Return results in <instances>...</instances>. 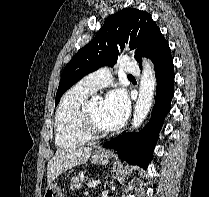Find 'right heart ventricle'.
I'll return each mask as SVG.
<instances>
[{
	"label": "right heart ventricle",
	"mask_w": 209,
	"mask_h": 197,
	"mask_svg": "<svg viewBox=\"0 0 209 197\" xmlns=\"http://www.w3.org/2000/svg\"><path fill=\"white\" fill-rule=\"evenodd\" d=\"M91 91L75 85L62 97L55 114V142L60 148H73L88 141L78 129V116Z\"/></svg>",
	"instance_id": "obj_1"
}]
</instances>
